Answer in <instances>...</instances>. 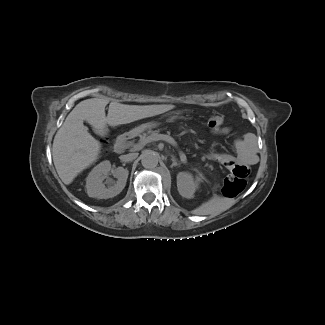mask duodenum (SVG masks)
<instances>
[{
    "label": "duodenum",
    "mask_w": 325,
    "mask_h": 325,
    "mask_svg": "<svg viewBox=\"0 0 325 325\" xmlns=\"http://www.w3.org/2000/svg\"><path fill=\"white\" fill-rule=\"evenodd\" d=\"M128 139L129 137L127 134L121 135L115 142V150L117 152L124 151L128 145Z\"/></svg>",
    "instance_id": "duodenum-1"
}]
</instances>
